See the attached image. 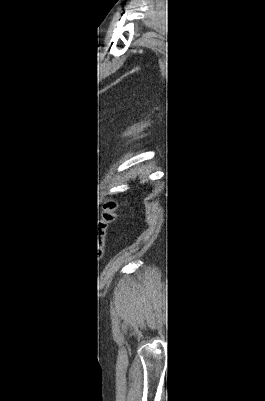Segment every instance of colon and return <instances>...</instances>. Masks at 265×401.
<instances>
[{
	"label": "colon",
	"instance_id": "colon-1",
	"mask_svg": "<svg viewBox=\"0 0 265 401\" xmlns=\"http://www.w3.org/2000/svg\"><path fill=\"white\" fill-rule=\"evenodd\" d=\"M117 208L116 201L112 198H106L103 204V212L105 214V217L107 218H112L115 215V211ZM102 249H98L96 252L95 259L96 261H99L102 257Z\"/></svg>",
	"mask_w": 265,
	"mask_h": 401
}]
</instances>
